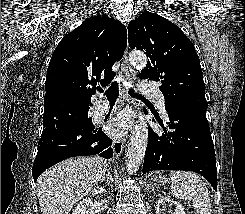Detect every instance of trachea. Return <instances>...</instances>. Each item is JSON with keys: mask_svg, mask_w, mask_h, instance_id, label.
<instances>
[{"mask_svg": "<svg viewBox=\"0 0 245 214\" xmlns=\"http://www.w3.org/2000/svg\"><path fill=\"white\" fill-rule=\"evenodd\" d=\"M118 82L114 81L111 86L104 92V95L107 97V99L112 103L115 102L119 95V88H118ZM100 93H103V90L100 88L98 89ZM128 93L133 97H139L141 99H145L143 96L138 95L134 92L131 88H129Z\"/></svg>", "mask_w": 245, "mask_h": 214, "instance_id": "3493384b", "label": "trachea"}]
</instances>
